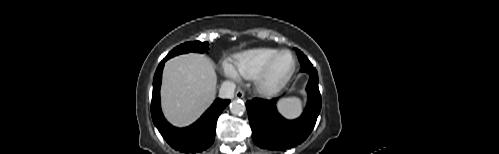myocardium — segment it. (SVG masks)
<instances>
[{"mask_svg":"<svg viewBox=\"0 0 499 154\" xmlns=\"http://www.w3.org/2000/svg\"><path fill=\"white\" fill-rule=\"evenodd\" d=\"M283 55L288 56L290 65L288 69L279 76L272 75V69L277 59ZM296 69V61L289 51H278L273 55L263 69L254 78L256 90L264 96H273L280 92L291 79Z\"/></svg>","mask_w":499,"mask_h":154,"instance_id":"obj_1","label":"myocardium"}]
</instances>
